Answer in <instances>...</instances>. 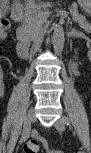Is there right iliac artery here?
<instances>
[{
    "label": "right iliac artery",
    "instance_id": "obj_1",
    "mask_svg": "<svg viewBox=\"0 0 91 153\" xmlns=\"http://www.w3.org/2000/svg\"><path fill=\"white\" fill-rule=\"evenodd\" d=\"M29 136H30V131L23 129L22 137L19 142L20 143L24 142Z\"/></svg>",
    "mask_w": 91,
    "mask_h": 153
}]
</instances>
